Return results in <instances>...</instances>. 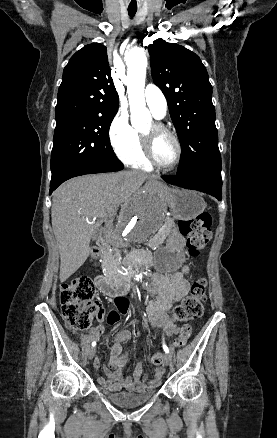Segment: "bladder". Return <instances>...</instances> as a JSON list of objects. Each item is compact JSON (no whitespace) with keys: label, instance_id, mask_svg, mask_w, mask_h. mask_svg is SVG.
Wrapping results in <instances>:
<instances>
[{"label":"bladder","instance_id":"obj_1","mask_svg":"<svg viewBox=\"0 0 277 438\" xmlns=\"http://www.w3.org/2000/svg\"><path fill=\"white\" fill-rule=\"evenodd\" d=\"M102 392L108 401L123 408H137L140 405L146 404L156 395V391L152 389L139 393L115 389H107Z\"/></svg>","mask_w":277,"mask_h":438}]
</instances>
